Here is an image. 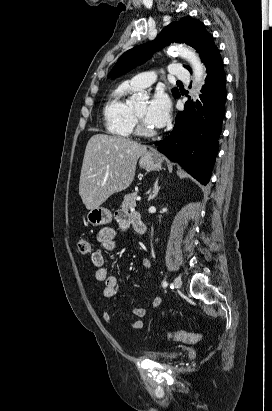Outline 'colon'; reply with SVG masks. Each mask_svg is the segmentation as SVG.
<instances>
[{
	"label": "colon",
	"instance_id": "5ec220e1",
	"mask_svg": "<svg viewBox=\"0 0 272 411\" xmlns=\"http://www.w3.org/2000/svg\"><path fill=\"white\" fill-rule=\"evenodd\" d=\"M78 250L82 254H87L90 251V244L87 240L81 239L78 242ZM168 337L177 342L183 343H195L201 339V334L199 332H188V331H172L168 332Z\"/></svg>",
	"mask_w": 272,
	"mask_h": 411
}]
</instances>
